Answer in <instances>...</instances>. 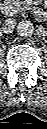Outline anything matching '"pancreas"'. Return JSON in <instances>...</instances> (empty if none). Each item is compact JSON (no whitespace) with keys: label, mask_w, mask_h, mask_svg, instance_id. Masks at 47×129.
<instances>
[{"label":"pancreas","mask_w":47,"mask_h":129,"mask_svg":"<svg viewBox=\"0 0 47 129\" xmlns=\"http://www.w3.org/2000/svg\"><path fill=\"white\" fill-rule=\"evenodd\" d=\"M13 5L17 12L26 11L29 9V0H13Z\"/></svg>","instance_id":"cf45deb5"}]
</instances>
